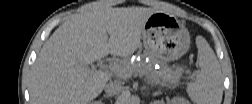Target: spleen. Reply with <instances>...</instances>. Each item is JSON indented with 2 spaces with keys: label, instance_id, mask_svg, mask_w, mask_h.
I'll return each instance as SVG.
<instances>
[{
  "label": "spleen",
  "instance_id": "obj_1",
  "mask_svg": "<svg viewBox=\"0 0 252 104\" xmlns=\"http://www.w3.org/2000/svg\"><path fill=\"white\" fill-rule=\"evenodd\" d=\"M200 71L193 82L188 83L187 93L196 104H219L223 96V81L217 57L202 37L196 38Z\"/></svg>",
  "mask_w": 252,
  "mask_h": 104
}]
</instances>
